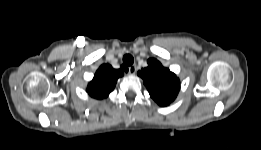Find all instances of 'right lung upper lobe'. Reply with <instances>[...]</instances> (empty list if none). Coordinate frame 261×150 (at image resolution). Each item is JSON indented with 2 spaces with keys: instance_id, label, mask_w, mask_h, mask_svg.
<instances>
[{
  "instance_id": "obj_1",
  "label": "right lung upper lobe",
  "mask_w": 261,
  "mask_h": 150,
  "mask_svg": "<svg viewBox=\"0 0 261 150\" xmlns=\"http://www.w3.org/2000/svg\"><path fill=\"white\" fill-rule=\"evenodd\" d=\"M124 73L113 69L111 65L104 64L96 71L93 80L88 84L87 92L96 99L106 98L113 91L117 79Z\"/></svg>"
}]
</instances>
